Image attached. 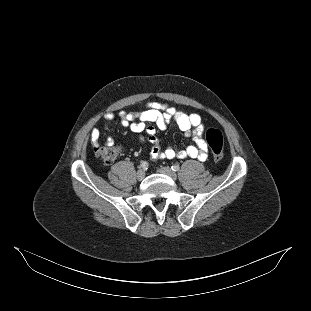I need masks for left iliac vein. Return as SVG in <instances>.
Wrapping results in <instances>:
<instances>
[{"label": "left iliac vein", "mask_w": 311, "mask_h": 311, "mask_svg": "<svg viewBox=\"0 0 311 311\" xmlns=\"http://www.w3.org/2000/svg\"><path fill=\"white\" fill-rule=\"evenodd\" d=\"M159 172L170 177L172 180L177 179V174L169 167H161Z\"/></svg>", "instance_id": "left-iliac-vein-1"}]
</instances>
